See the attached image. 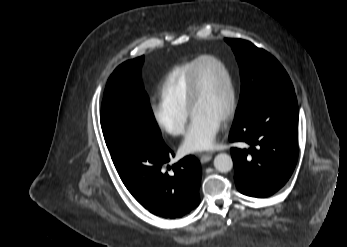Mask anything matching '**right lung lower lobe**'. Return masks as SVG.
I'll list each match as a JSON object with an SVG mask.
<instances>
[{"instance_id": "1", "label": "right lung lower lobe", "mask_w": 347, "mask_h": 247, "mask_svg": "<svg viewBox=\"0 0 347 247\" xmlns=\"http://www.w3.org/2000/svg\"><path fill=\"white\" fill-rule=\"evenodd\" d=\"M108 149L128 191L151 213L180 218L198 206L201 167L194 156L170 167L174 154L164 141L154 145L137 133L118 136Z\"/></svg>"}]
</instances>
